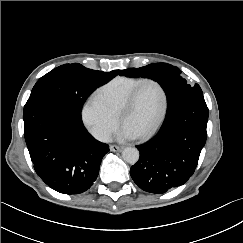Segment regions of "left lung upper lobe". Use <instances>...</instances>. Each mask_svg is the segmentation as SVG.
<instances>
[{"label": "left lung upper lobe", "mask_w": 243, "mask_h": 243, "mask_svg": "<svg viewBox=\"0 0 243 243\" xmlns=\"http://www.w3.org/2000/svg\"><path fill=\"white\" fill-rule=\"evenodd\" d=\"M121 76L151 78L164 89L167 98V112L184 100L201 95L198 84L190 85L181 76L179 68L167 63H153L141 68H129L120 72Z\"/></svg>", "instance_id": "1"}]
</instances>
